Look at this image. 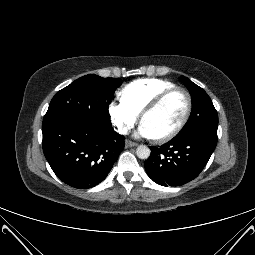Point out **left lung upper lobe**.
<instances>
[{"label":"left lung upper lobe","instance_id":"obj_1","mask_svg":"<svg viewBox=\"0 0 255 255\" xmlns=\"http://www.w3.org/2000/svg\"><path fill=\"white\" fill-rule=\"evenodd\" d=\"M182 82L192 97L193 111L182 131L175 138L207 134L217 136L218 114L207 93L187 77H181Z\"/></svg>","mask_w":255,"mask_h":255}]
</instances>
